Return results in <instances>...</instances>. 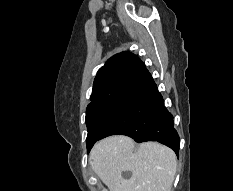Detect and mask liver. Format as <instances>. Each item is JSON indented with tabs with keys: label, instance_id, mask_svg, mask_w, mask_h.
I'll list each match as a JSON object with an SVG mask.
<instances>
[{
	"label": "liver",
	"instance_id": "6515ba94",
	"mask_svg": "<svg viewBox=\"0 0 233 191\" xmlns=\"http://www.w3.org/2000/svg\"><path fill=\"white\" fill-rule=\"evenodd\" d=\"M89 164L109 191H171L177 157L160 143L145 142L135 149L132 138L115 135L94 145ZM124 171L132 173L129 179L122 177Z\"/></svg>",
	"mask_w": 233,
	"mask_h": 191
}]
</instances>
